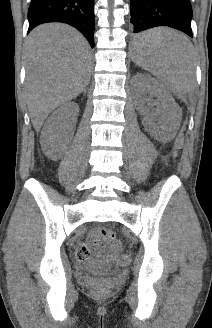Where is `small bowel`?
<instances>
[{
	"mask_svg": "<svg viewBox=\"0 0 212 328\" xmlns=\"http://www.w3.org/2000/svg\"><path fill=\"white\" fill-rule=\"evenodd\" d=\"M78 251H84L86 258L92 252H96L106 262L115 259L117 253V250L113 249L111 246L106 247L103 243L100 242L97 231H93L91 233L90 242L86 245H82Z\"/></svg>",
	"mask_w": 212,
	"mask_h": 328,
	"instance_id": "c3829d8e",
	"label": "small bowel"
}]
</instances>
